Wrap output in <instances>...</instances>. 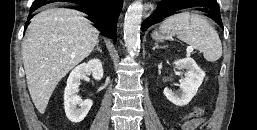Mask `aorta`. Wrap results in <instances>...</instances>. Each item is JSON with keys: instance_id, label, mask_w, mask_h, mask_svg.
Instances as JSON below:
<instances>
[{"instance_id": "obj_1", "label": "aorta", "mask_w": 257, "mask_h": 130, "mask_svg": "<svg viewBox=\"0 0 257 130\" xmlns=\"http://www.w3.org/2000/svg\"><path fill=\"white\" fill-rule=\"evenodd\" d=\"M142 13L143 4L140 0H136L129 6L125 15L124 40L131 56H137L139 52Z\"/></svg>"}]
</instances>
